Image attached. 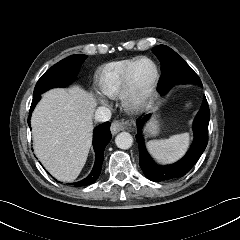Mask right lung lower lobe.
Returning a JSON list of instances; mask_svg holds the SVG:
<instances>
[{
  "instance_id": "right-lung-lower-lobe-1",
  "label": "right lung lower lobe",
  "mask_w": 240,
  "mask_h": 240,
  "mask_svg": "<svg viewBox=\"0 0 240 240\" xmlns=\"http://www.w3.org/2000/svg\"><path fill=\"white\" fill-rule=\"evenodd\" d=\"M40 98H41V94L33 96L32 104L30 107V115L28 117L29 126H30L31 112L33 111L35 105L40 100ZM110 125H111L110 122H106L95 128L94 134H93V147L95 150L96 159H95L93 170L85 179L76 183H72L73 185L77 187L86 186L94 183L98 179L101 172L103 159H104L103 158L104 148L106 147V145L109 143L111 139Z\"/></svg>"
}]
</instances>
